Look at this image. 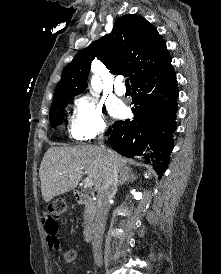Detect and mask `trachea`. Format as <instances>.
<instances>
[{
  "mask_svg": "<svg viewBox=\"0 0 221 274\" xmlns=\"http://www.w3.org/2000/svg\"><path fill=\"white\" fill-rule=\"evenodd\" d=\"M125 85H126V86H130V83H129V79H128V78L125 80Z\"/></svg>",
  "mask_w": 221,
  "mask_h": 274,
  "instance_id": "obj_1",
  "label": "trachea"
}]
</instances>
